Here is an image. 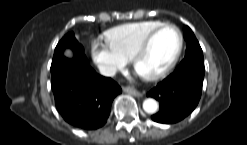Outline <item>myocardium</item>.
<instances>
[{
    "mask_svg": "<svg viewBox=\"0 0 247 145\" xmlns=\"http://www.w3.org/2000/svg\"><path fill=\"white\" fill-rule=\"evenodd\" d=\"M166 28H172L174 29L177 34H178V47L177 50L173 56V58L170 60V62L164 66L163 68L148 74V75H144L147 79L149 80H157L163 76H165L166 74H168L176 65V63L178 62L182 50H183V46H184V37L183 34L181 32V30L174 24H167L164 23L158 27H156L155 29H153L152 31H150L146 37L142 40V42L138 45V47L134 50V52L132 53L131 57H130V62L132 64V66L134 68H136V64L139 60V58L148 50L151 42L153 41L154 37L162 30L166 29Z\"/></svg>",
    "mask_w": 247,
    "mask_h": 145,
    "instance_id": "1",
    "label": "myocardium"
}]
</instances>
